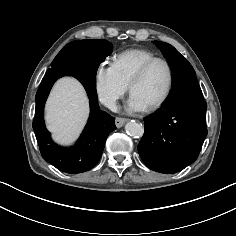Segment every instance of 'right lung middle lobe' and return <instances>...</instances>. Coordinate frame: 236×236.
<instances>
[{
    "label": "right lung middle lobe",
    "instance_id": "dd1d6c3e",
    "mask_svg": "<svg viewBox=\"0 0 236 236\" xmlns=\"http://www.w3.org/2000/svg\"><path fill=\"white\" fill-rule=\"evenodd\" d=\"M83 42H90L94 45H96L100 50L106 52V53H111L113 50V46L111 43H109L107 40L104 39H90V40H77V41H73L70 42L69 44H67L59 53L58 55L55 57V59L53 60L51 66L53 67H66L69 65V63H67L66 59L64 58V53L65 50L69 47H71L74 44L77 43H83Z\"/></svg>",
    "mask_w": 236,
    "mask_h": 236
}]
</instances>
